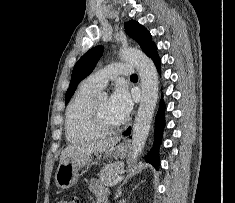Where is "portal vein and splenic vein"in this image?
<instances>
[{"mask_svg":"<svg viewBox=\"0 0 235 203\" xmlns=\"http://www.w3.org/2000/svg\"><path fill=\"white\" fill-rule=\"evenodd\" d=\"M124 177L121 175V176H117L110 184H108L109 186H112V185H115L117 184L118 182H120Z\"/></svg>","mask_w":235,"mask_h":203,"instance_id":"obj_1","label":"portal vein and splenic vein"}]
</instances>
